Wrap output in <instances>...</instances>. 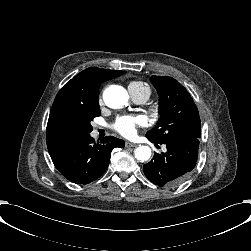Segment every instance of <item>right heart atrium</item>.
Returning a JSON list of instances; mask_svg holds the SVG:
<instances>
[{
    "label": "right heart atrium",
    "instance_id": "d8ad5b80",
    "mask_svg": "<svg viewBox=\"0 0 251 251\" xmlns=\"http://www.w3.org/2000/svg\"><path fill=\"white\" fill-rule=\"evenodd\" d=\"M98 99H99V103H101L102 100H103V92H102V90L99 92V97H98Z\"/></svg>",
    "mask_w": 251,
    "mask_h": 251
}]
</instances>
